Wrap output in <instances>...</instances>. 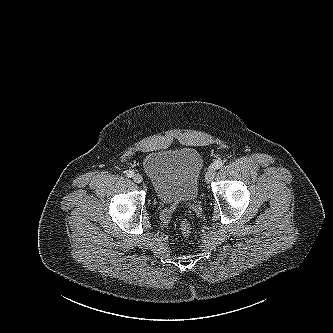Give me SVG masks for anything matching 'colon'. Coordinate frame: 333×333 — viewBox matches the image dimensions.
I'll return each mask as SVG.
<instances>
[{
	"label": "colon",
	"mask_w": 333,
	"mask_h": 333,
	"mask_svg": "<svg viewBox=\"0 0 333 333\" xmlns=\"http://www.w3.org/2000/svg\"><path fill=\"white\" fill-rule=\"evenodd\" d=\"M179 230L182 234L189 235L192 231L191 222L186 218L181 219L179 221Z\"/></svg>",
	"instance_id": "obj_1"
}]
</instances>
